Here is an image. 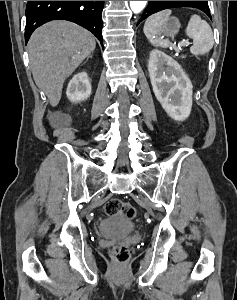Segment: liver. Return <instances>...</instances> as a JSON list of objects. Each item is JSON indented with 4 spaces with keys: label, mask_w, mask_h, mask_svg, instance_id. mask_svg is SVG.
Segmentation results:
<instances>
[{
    "label": "liver",
    "mask_w": 237,
    "mask_h": 300,
    "mask_svg": "<svg viewBox=\"0 0 237 300\" xmlns=\"http://www.w3.org/2000/svg\"><path fill=\"white\" fill-rule=\"evenodd\" d=\"M96 41L86 29L69 21H50L28 43L33 79L50 105H58L65 79L94 51Z\"/></svg>",
    "instance_id": "obj_1"
}]
</instances>
